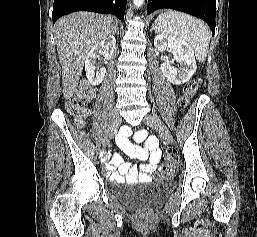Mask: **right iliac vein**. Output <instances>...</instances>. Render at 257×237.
I'll use <instances>...</instances> for the list:
<instances>
[{"instance_id": "1", "label": "right iliac vein", "mask_w": 257, "mask_h": 237, "mask_svg": "<svg viewBox=\"0 0 257 237\" xmlns=\"http://www.w3.org/2000/svg\"><path fill=\"white\" fill-rule=\"evenodd\" d=\"M120 124H121V117L118 113H115L111 118L109 128H108L106 135L104 137V140H103L104 147H107L109 145L114 134L117 132Z\"/></svg>"}]
</instances>
